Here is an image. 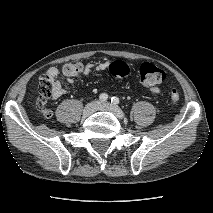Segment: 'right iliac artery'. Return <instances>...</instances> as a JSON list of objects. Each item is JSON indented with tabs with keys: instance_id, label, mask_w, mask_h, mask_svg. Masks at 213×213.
I'll use <instances>...</instances> for the list:
<instances>
[{
	"instance_id": "obj_1",
	"label": "right iliac artery",
	"mask_w": 213,
	"mask_h": 213,
	"mask_svg": "<svg viewBox=\"0 0 213 213\" xmlns=\"http://www.w3.org/2000/svg\"><path fill=\"white\" fill-rule=\"evenodd\" d=\"M107 99H108V95H107L106 93L100 94L99 100H100L101 102H105Z\"/></svg>"
}]
</instances>
